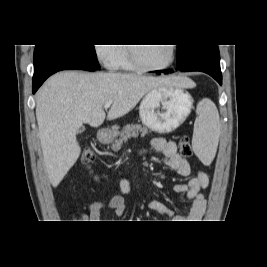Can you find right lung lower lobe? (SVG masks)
<instances>
[{
  "instance_id": "right-lung-lower-lobe-1",
  "label": "right lung lower lobe",
  "mask_w": 267,
  "mask_h": 267,
  "mask_svg": "<svg viewBox=\"0 0 267 267\" xmlns=\"http://www.w3.org/2000/svg\"><path fill=\"white\" fill-rule=\"evenodd\" d=\"M70 69L95 71L98 68L55 45L36 46L32 92L35 93L50 75Z\"/></svg>"
}]
</instances>
